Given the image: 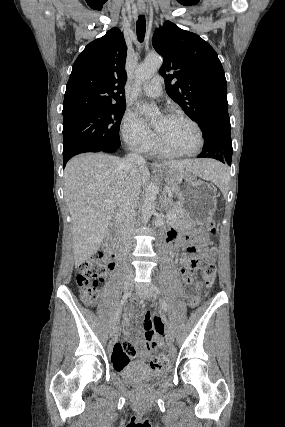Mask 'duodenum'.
<instances>
[{
	"label": "duodenum",
	"instance_id": "410a0bca",
	"mask_svg": "<svg viewBox=\"0 0 285 427\" xmlns=\"http://www.w3.org/2000/svg\"><path fill=\"white\" fill-rule=\"evenodd\" d=\"M123 228V220L118 217L112 224V239L110 241L109 254L112 259L118 258L122 250V241L120 237V231Z\"/></svg>",
	"mask_w": 285,
	"mask_h": 427
}]
</instances>
